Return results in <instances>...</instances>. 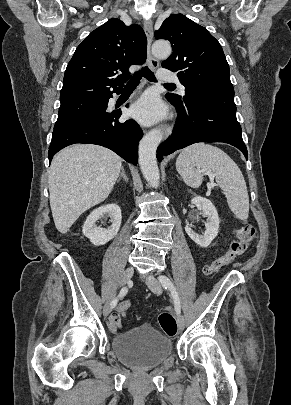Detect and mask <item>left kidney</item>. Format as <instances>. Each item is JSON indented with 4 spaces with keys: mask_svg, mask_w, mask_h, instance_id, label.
Segmentation results:
<instances>
[{
    "mask_svg": "<svg viewBox=\"0 0 291 405\" xmlns=\"http://www.w3.org/2000/svg\"><path fill=\"white\" fill-rule=\"evenodd\" d=\"M191 204L195 205L207 217L205 231L202 235H199L189 225L185 226V231L196 244L201 247H208L218 234L220 221L217 210L210 200L201 196L192 198Z\"/></svg>",
    "mask_w": 291,
    "mask_h": 405,
    "instance_id": "obj_1",
    "label": "left kidney"
}]
</instances>
